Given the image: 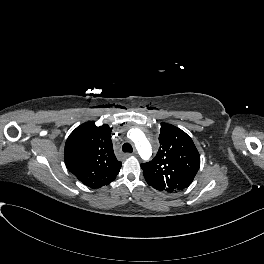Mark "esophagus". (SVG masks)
Here are the masks:
<instances>
[{
    "mask_svg": "<svg viewBox=\"0 0 264 264\" xmlns=\"http://www.w3.org/2000/svg\"><path fill=\"white\" fill-rule=\"evenodd\" d=\"M136 154H137L136 152H134V153H127L126 154V157L135 156Z\"/></svg>",
    "mask_w": 264,
    "mask_h": 264,
    "instance_id": "34e87169",
    "label": "esophagus"
}]
</instances>
